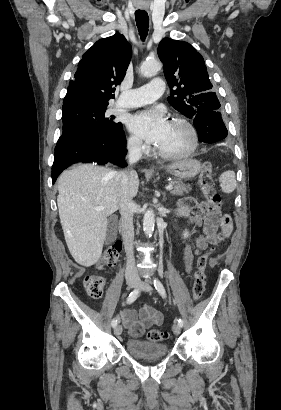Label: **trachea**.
<instances>
[{
	"label": "trachea",
	"mask_w": 281,
	"mask_h": 410,
	"mask_svg": "<svg viewBox=\"0 0 281 410\" xmlns=\"http://www.w3.org/2000/svg\"><path fill=\"white\" fill-rule=\"evenodd\" d=\"M135 19H136V24L138 27V31L141 37V40H145L147 33H148V27H149V17L146 11H136L135 12Z\"/></svg>",
	"instance_id": "obj_1"
}]
</instances>
